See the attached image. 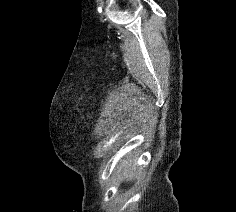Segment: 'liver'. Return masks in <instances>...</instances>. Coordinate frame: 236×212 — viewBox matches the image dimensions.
I'll return each mask as SVG.
<instances>
[{
    "instance_id": "6515ba94",
    "label": "liver",
    "mask_w": 236,
    "mask_h": 212,
    "mask_svg": "<svg viewBox=\"0 0 236 212\" xmlns=\"http://www.w3.org/2000/svg\"><path fill=\"white\" fill-rule=\"evenodd\" d=\"M131 158L126 157L122 159L115 169V173L119 180L125 179L127 181L132 179V171H131Z\"/></svg>"
}]
</instances>
